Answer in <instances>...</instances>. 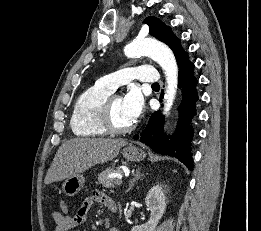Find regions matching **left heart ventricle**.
Returning a JSON list of instances; mask_svg holds the SVG:
<instances>
[{
  "label": "left heart ventricle",
  "mask_w": 261,
  "mask_h": 231,
  "mask_svg": "<svg viewBox=\"0 0 261 231\" xmlns=\"http://www.w3.org/2000/svg\"><path fill=\"white\" fill-rule=\"evenodd\" d=\"M112 113L114 122L121 127H125L134 122L125 110L123 99L121 97L114 100L112 104Z\"/></svg>",
  "instance_id": "b2bd125f"
}]
</instances>
